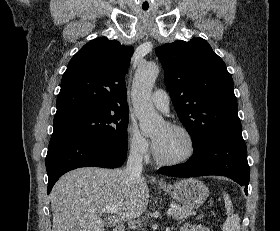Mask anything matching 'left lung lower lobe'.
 <instances>
[{
  "label": "left lung lower lobe",
  "instance_id": "1",
  "mask_svg": "<svg viewBox=\"0 0 280 231\" xmlns=\"http://www.w3.org/2000/svg\"><path fill=\"white\" fill-rule=\"evenodd\" d=\"M193 148L194 155L186 163L160 168V173L174 177L226 176L244 186L247 195L250 170L241 130L208 136Z\"/></svg>",
  "mask_w": 280,
  "mask_h": 231
}]
</instances>
